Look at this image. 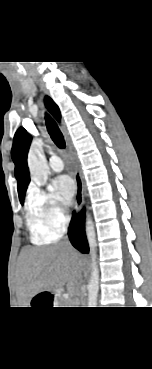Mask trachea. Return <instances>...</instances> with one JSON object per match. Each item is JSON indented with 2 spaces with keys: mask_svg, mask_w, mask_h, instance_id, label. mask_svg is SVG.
<instances>
[{
  "mask_svg": "<svg viewBox=\"0 0 152 369\" xmlns=\"http://www.w3.org/2000/svg\"><path fill=\"white\" fill-rule=\"evenodd\" d=\"M45 119H46V126H47V129H48V132H49L53 142L59 148H65V141H64L63 134L61 133L59 127L56 124V122L48 115H46Z\"/></svg>",
  "mask_w": 152,
  "mask_h": 369,
  "instance_id": "obj_1",
  "label": "trachea"
}]
</instances>
